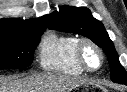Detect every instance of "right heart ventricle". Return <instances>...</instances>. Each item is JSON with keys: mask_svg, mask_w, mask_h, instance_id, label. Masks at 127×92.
<instances>
[{"mask_svg": "<svg viewBox=\"0 0 127 92\" xmlns=\"http://www.w3.org/2000/svg\"><path fill=\"white\" fill-rule=\"evenodd\" d=\"M79 38L72 34L47 33L40 44L39 66L42 70L64 75H79L84 70L75 58Z\"/></svg>", "mask_w": 127, "mask_h": 92, "instance_id": "e07e8e85", "label": "right heart ventricle"}]
</instances>
